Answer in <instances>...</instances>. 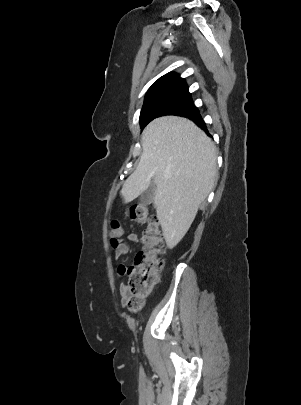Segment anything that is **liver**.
Masks as SVG:
<instances>
[{
  "instance_id": "1",
  "label": "liver",
  "mask_w": 301,
  "mask_h": 405,
  "mask_svg": "<svg viewBox=\"0 0 301 405\" xmlns=\"http://www.w3.org/2000/svg\"><path fill=\"white\" fill-rule=\"evenodd\" d=\"M142 154L125 181V203L156 186L154 206L168 248L184 237L200 204L211 192L217 173L212 140L191 120L163 116L150 122L141 136Z\"/></svg>"
}]
</instances>
